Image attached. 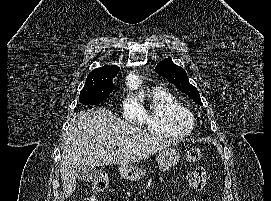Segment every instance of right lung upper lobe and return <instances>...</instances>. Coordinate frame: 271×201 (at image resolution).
Segmentation results:
<instances>
[{"label":"right lung upper lobe","instance_id":"cb5924a9","mask_svg":"<svg viewBox=\"0 0 271 201\" xmlns=\"http://www.w3.org/2000/svg\"><path fill=\"white\" fill-rule=\"evenodd\" d=\"M119 71V68L115 65L113 66H103L101 68H96L92 72L89 73L87 78L101 77V76H109L116 75Z\"/></svg>","mask_w":271,"mask_h":201}]
</instances>
